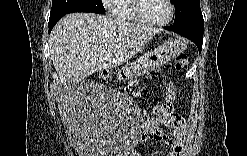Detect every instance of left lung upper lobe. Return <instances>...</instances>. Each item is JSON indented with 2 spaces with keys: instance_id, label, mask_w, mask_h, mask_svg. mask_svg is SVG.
<instances>
[{
  "instance_id": "obj_1",
  "label": "left lung upper lobe",
  "mask_w": 247,
  "mask_h": 156,
  "mask_svg": "<svg viewBox=\"0 0 247 156\" xmlns=\"http://www.w3.org/2000/svg\"><path fill=\"white\" fill-rule=\"evenodd\" d=\"M175 6L174 24H182L201 13L200 0H173Z\"/></svg>"
}]
</instances>
